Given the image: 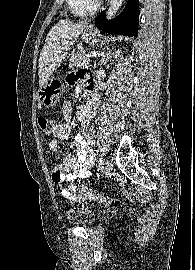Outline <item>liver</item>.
Segmentation results:
<instances>
[{
  "label": "liver",
  "instance_id": "obj_1",
  "mask_svg": "<svg viewBox=\"0 0 195 270\" xmlns=\"http://www.w3.org/2000/svg\"><path fill=\"white\" fill-rule=\"evenodd\" d=\"M86 26V22L74 23L68 20H60L51 28L39 58L40 88L64 61Z\"/></svg>",
  "mask_w": 195,
  "mask_h": 270
}]
</instances>
